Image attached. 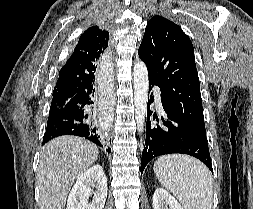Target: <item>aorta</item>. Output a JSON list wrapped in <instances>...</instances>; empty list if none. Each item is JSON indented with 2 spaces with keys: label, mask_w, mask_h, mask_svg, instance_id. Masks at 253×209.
<instances>
[{
  "label": "aorta",
  "mask_w": 253,
  "mask_h": 209,
  "mask_svg": "<svg viewBox=\"0 0 253 209\" xmlns=\"http://www.w3.org/2000/svg\"><path fill=\"white\" fill-rule=\"evenodd\" d=\"M135 120L139 134L144 130L148 99V71L143 62H138L133 68Z\"/></svg>",
  "instance_id": "1"
}]
</instances>
